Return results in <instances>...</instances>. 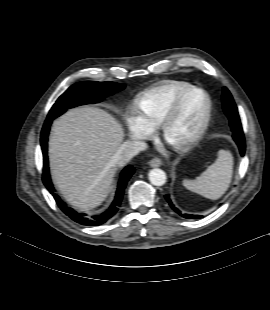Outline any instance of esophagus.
<instances>
[{"instance_id":"1","label":"esophagus","mask_w":270,"mask_h":310,"mask_svg":"<svg viewBox=\"0 0 270 310\" xmlns=\"http://www.w3.org/2000/svg\"><path fill=\"white\" fill-rule=\"evenodd\" d=\"M161 164H162L161 160L157 157L151 159L149 162L150 167H153V168L160 167Z\"/></svg>"}]
</instances>
